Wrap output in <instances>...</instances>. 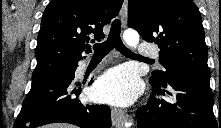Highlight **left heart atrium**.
Wrapping results in <instances>:
<instances>
[{
	"mask_svg": "<svg viewBox=\"0 0 221 128\" xmlns=\"http://www.w3.org/2000/svg\"><path fill=\"white\" fill-rule=\"evenodd\" d=\"M139 86L138 77L120 66L109 70L96 82L93 96L101 102L127 106L136 99Z\"/></svg>",
	"mask_w": 221,
	"mask_h": 128,
	"instance_id": "left-heart-atrium-1",
	"label": "left heart atrium"
}]
</instances>
